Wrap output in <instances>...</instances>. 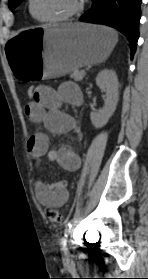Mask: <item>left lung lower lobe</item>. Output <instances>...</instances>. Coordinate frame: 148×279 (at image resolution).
<instances>
[{"label":"left lung lower lobe","mask_w":148,"mask_h":279,"mask_svg":"<svg viewBox=\"0 0 148 279\" xmlns=\"http://www.w3.org/2000/svg\"><path fill=\"white\" fill-rule=\"evenodd\" d=\"M89 11L79 19L83 22L104 24L122 32L130 42L131 56L139 38L140 5L142 0H92Z\"/></svg>","instance_id":"0a47b994"}]
</instances>
